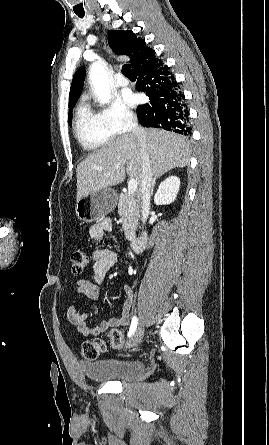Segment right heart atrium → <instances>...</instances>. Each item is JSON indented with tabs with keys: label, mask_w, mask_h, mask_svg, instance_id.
Segmentation results:
<instances>
[{
	"label": "right heart atrium",
	"mask_w": 269,
	"mask_h": 445,
	"mask_svg": "<svg viewBox=\"0 0 269 445\" xmlns=\"http://www.w3.org/2000/svg\"><path fill=\"white\" fill-rule=\"evenodd\" d=\"M99 115L113 136L126 133L135 123L134 113L119 100L111 101Z\"/></svg>",
	"instance_id": "d8ad5b80"
}]
</instances>
